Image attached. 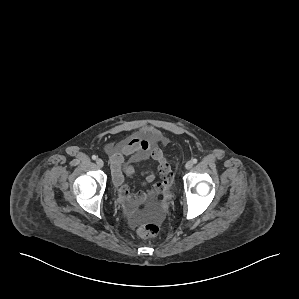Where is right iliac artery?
<instances>
[{"label":"right iliac artery","instance_id":"obj_1","mask_svg":"<svg viewBox=\"0 0 299 299\" xmlns=\"http://www.w3.org/2000/svg\"><path fill=\"white\" fill-rule=\"evenodd\" d=\"M92 159H93V160H96V159H97V156H96V155H93V156H92Z\"/></svg>","mask_w":299,"mask_h":299}]
</instances>
